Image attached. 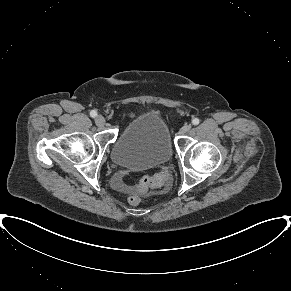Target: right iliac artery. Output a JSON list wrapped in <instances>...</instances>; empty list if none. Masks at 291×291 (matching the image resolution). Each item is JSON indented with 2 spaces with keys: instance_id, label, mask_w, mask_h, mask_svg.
<instances>
[{
  "instance_id": "82829eb1",
  "label": "right iliac artery",
  "mask_w": 291,
  "mask_h": 291,
  "mask_svg": "<svg viewBox=\"0 0 291 291\" xmlns=\"http://www.w3.org/2000/svg\"><path fill=\"white\" fill-rule=\"evenodd\" d=\"M90 116L93 117V118H95L97 116V112L95 110H92L90 112Z\"/></svg>"
}]
</instances>
